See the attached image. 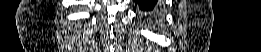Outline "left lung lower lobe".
<instances>
[{
    "label": "left lung lower lobe",
    "instance_id": "obj_1",
    "mask_svg": "<svg viewBox=\"0 0 261 52\" xmlns=\"http://www.w3.org/2000/svg\"><path fill=\"white\" fill-rule=\"evenodd\" d=\"M141 11L149 17H155L157 9H159L158 0H136Z\"/></svg>",
    "mask_w": 261,
    "mask_h": 52
}]
</instances>
